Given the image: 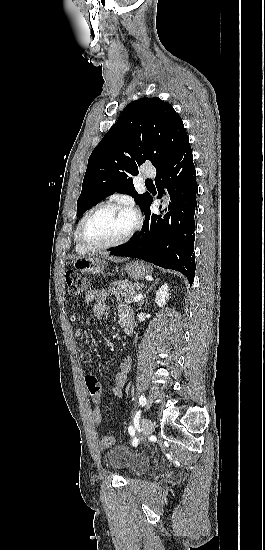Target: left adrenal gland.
I'll return each instance as SVG.
<instances>
[{"instance_id":"1","label":"left adrenal gland","mask_w":265,"mask_h":550,"mask_svg":"<svg viewBox=\"0 0 265 550\" xmlns=\"http://www.w3.org/2000/svg\"><path fill=\"white\" fill-rule=\"evenodd\" d=\"M158 282H159V279H156V280L152 283V285H151L150 287H148V289H147L146 293L144 294V296H143L141 302L139 303V308H138L139 310L142 309V305L144 304V300H145V298H146V294H148V292L153 288V286L157 285Z\"/></svg>"}]
</instances>
